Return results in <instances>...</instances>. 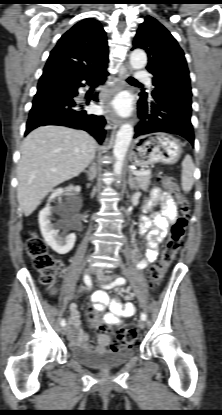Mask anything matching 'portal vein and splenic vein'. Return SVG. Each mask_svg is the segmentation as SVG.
I'll return each instance as SVG.
<instances>
[{
	"label": "portal vein and splenic vein",
	"instance_id": "1",
	"mask_svg": "<svg viewBox=\"0 0 222 415\" xmlns=\"http://www.w3.org/2000/svg\"><path fill=\"white\" fill-rule=\"evenodd\" d=\"M150 171L149 170H145V171H133L134 175H143V174H149Z\"/></svg>",
	"mask_w": 222,
	"mask_h": 415
}]
</instances>
